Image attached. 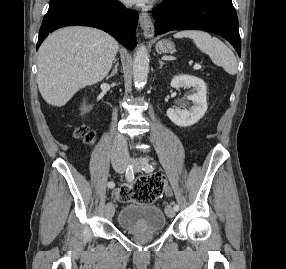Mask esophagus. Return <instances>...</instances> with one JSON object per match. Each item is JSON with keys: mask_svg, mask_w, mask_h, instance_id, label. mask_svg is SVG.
Returning <instances> with one entry per match:
<instances>
[{"mask_svg": "<svg viewBox=\"0 0 286 269\" xmlns=\"http://www.w3.org/2000/svg\"><path fill=\"white\" fill-rule=\"evenodd\" d=\"M139 23L146 38H151L154 35V25L150 15L146 12H142L139 15Z\"/></svg>", "mask_w": 286, "mask_h": 269, "instance_id": "1", "label": "esophagus"}]
</instances>
